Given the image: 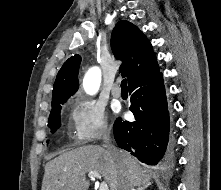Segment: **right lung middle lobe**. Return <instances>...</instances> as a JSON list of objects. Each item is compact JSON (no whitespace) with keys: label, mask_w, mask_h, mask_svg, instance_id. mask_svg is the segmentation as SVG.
Instances as JSON below:
<instances>
[{"label":"right lung middle lobe","mask_w":221,"mask_h":190,"mask_svg":"<svg viewBox=\"0 0 221 190\" xmlns=\"http://www.w3.org/2000/svg\"><path fill=\"white\" fill-rule=\"evenodd\" d=\"M66 100H60L52 104V110L50 112L48 126L51 128V132L54 133L60 126V112L61 104H64Z\"/></svg>","instance_id":"right-lung-middle-lobe-1"}]
</instances>
